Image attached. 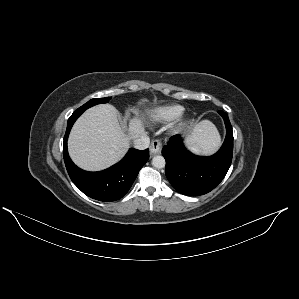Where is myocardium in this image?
<instances>
[{
    "label": "myocardium",
    "mask_w": 299,
    "mask_h": 299,
    "mask_svg": "<svg viewBox=\"0 0 299 299\" xmlns=\"http://www.w3.org/2000/svg\"><path fill=\"white\" fill-rule=\"evenodd\" d=\"M184 122H185V119H184V118H181V119L179 120V126L183 125Z\"/></svg>",
    "instance_id": "1"
}]
</instances>
